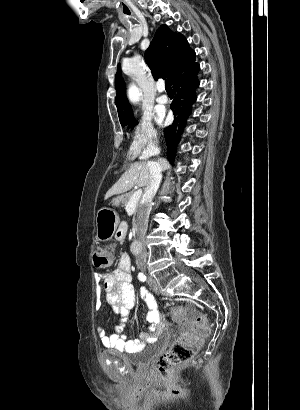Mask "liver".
<instances>
[{"label": "liver", "mask_w": 300, "mask_h": 410, "mask_svg": "<svg viewBox=\"0 0 300 410\" xmlns=\"http://www.w3.org/2000/svg\"><path fill=\"white\" fill-rule=\"evenodd\" d=\"M159 163L163 170L169 169L170 164L165 159H160ZM150 181V172L148 163L140 162L130 166V168L120 177V179L108 190L105 199L112 195L121 194L129 191L135 185L147 187Z\"/></svg>", "instance_id": "1"}]
</instances>
